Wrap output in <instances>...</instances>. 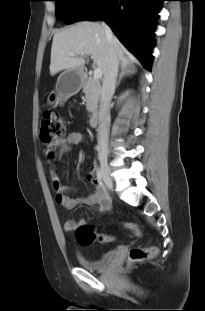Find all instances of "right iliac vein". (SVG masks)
<instances>
[{
	"label": "right iliac vein",
	"mask_w": 205,
	"mask_h": 311,
	"mask_svg": "<svg viewBox=\"0 0 205 311\" xmlns=\"http://www.w3.org/2000/svg\"><path fill=\"white\" fill-rule=\"evenodd\" d=\"M98 159L100 161L103 180L107 188L113 189V180L107 160V153L103 148L99 149Z\"/></svg>",
	"instance_id": "63e3f726"
}]
</instances>
